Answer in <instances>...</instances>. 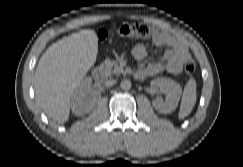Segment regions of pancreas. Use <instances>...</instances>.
Wrapping results in <instances>:
<instances>
[{"label": "pancreas", "mask_w": 243, "mask_h": 167, "mask_svg": "<svg viewBox=\"0 0 243 167\" xmlns=\"http://www.w3.org/2000/svg\"><path fill=\"white\" fill-rule=\"evenodd\" d=\"M102 67L106 76H109L111 74L119 75L124 71L123 68L118 64V62L109 59H106L104 61Z\"/></svg>", "instance_id": "obj_1"}]
</instances>
